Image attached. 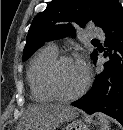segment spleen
I'll list each match as a JSON object with an SVG mask.
<instances>
[{"label": "spleen", "mask_w": 123, "mask_h": 130, "mask_svg": "<svg viewBox=\"0 0 123 130\" xmlns=\"http://www.w3.org/2000/svg\"><path fill=\"white\" fill-rule=\"evenodd\" d=\"M97 117L99 119V124L101 125V130H110L109 118L102 113H97Z\"/></svg>", "instance_id": "spleen-1"}]
</instances>
